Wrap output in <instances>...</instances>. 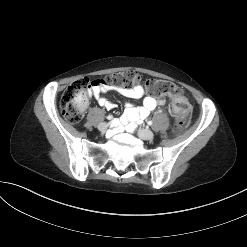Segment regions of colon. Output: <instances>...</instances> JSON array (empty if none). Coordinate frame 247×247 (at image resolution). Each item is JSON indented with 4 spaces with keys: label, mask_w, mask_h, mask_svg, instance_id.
<instances>
[{
    "label": "colon",
    "mask_w": 247,
    "mask_h": 247,
    "mask_svg": "<svg viewBox=\"0 0 247 247\" xmlns=\"http://www.w3.org/2000/svg\"><path fill=\"white\" fill-rule=\"evenodd\" d=\"M140 80L139 75L132 70H127L106 76L98 82L110 87H130ZM95 80L82 78L71 83L65 90L60 109L67 121L72 124L79 123L83 117L84 109L88 104V94ZM146 90L154 96H172V110L175 116L174 129L180 131L185 125L190 107L186 97H181L182 90L179 86L165 79H148L145 81Z\"/></svg>",
    "instance_id": "obj_1"
}]
</instances>
